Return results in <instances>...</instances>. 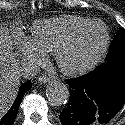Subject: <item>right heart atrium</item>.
<instances>
[{
	"label": "right heart atrium",
	"mask_w": 125,
	"mask_h": 125,
	"mask_svg": "<svg viewBox=\"0 0 125 125\" xmlns=\"http://www.w3.org/2000/svg\"><path fill=\"white\" fill-rule=\"evenodd\" d=\"M19 52L21 56L28 62L35 64L42 59L43 53H41L32 43L30 38L22 37L19 42Z\"/></svg>",
	"instance_id": "d8ad5b80"
}]
</instances>
